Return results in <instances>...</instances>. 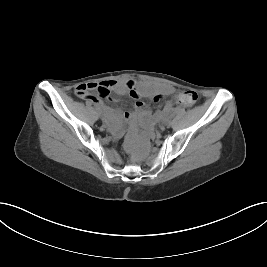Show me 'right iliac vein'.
Instances as JSON below:
<instances>
[{"instance_id":"63e3f726","label":"right iliac vein","mask_w":267,"mask_h":267,"mask_svg":"<svg viewBox=\"0 0 267 267\" xmlns=\"http://www.w3.org/2000/svg\"><path fill=\"white\" fill-rule=\"evenodd\" d=\"M98 116H102L101 112H98Z\"/></svg>"}]
</instances>
